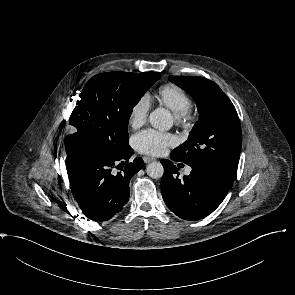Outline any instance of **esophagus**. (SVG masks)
<instances>
[{"label": "esophagus", "instance_id": "1", "mask_svg": "<svg viewBox=\"0 0 295 295\" xmlns=\"http://www.w3.org/2000/svg\"><path fill=\"white\" fill-rule=\"evenodd\" d=\"M143 160H144L145 163H150V162H152V161H155L156 159L153 158V157L144 156V157H143Z\"/></svg>", "mask_w": 295, "mask_h": 295}]
</instances>
